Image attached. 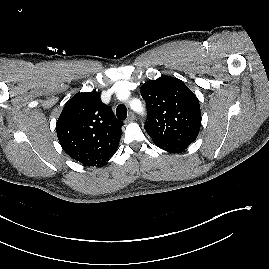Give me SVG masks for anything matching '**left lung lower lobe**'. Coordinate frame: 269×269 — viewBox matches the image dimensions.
<instances>
[{
  "label": "left lung lower lobe",
  "instance_id": "0a47b994",
  "mask_svg": "<svg viewBox=\"0 0 269 269\" xmlns=\"http://www.w3.org/2000/svg\"><path fill=\"white\" fill-rule=\"evenodd\" d=\"M159 148L170 152V153H181L183 152L189 145H161V144H156Z\"/></svg>",
  "mask_w": 269,
  "mask_h": 269
}]
</instances>
